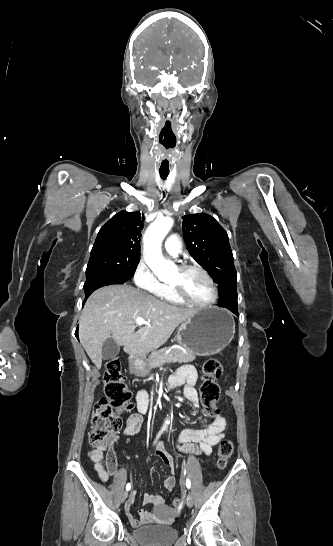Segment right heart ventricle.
Segmentation results:
<instances>
[{
  "label": "right heart ventricle",
  "mask_w": 333,
  "mask_h": 546,
  "mask_svg": "<svg viewBox=\"0 0 333 546\" xmlns=\"http://www.w3.org/2000/svg\"><path fill=\"white\" fill-rule=\"evenodd\" d=\"M161 298L167 302L175 303V304H181L183 303L180 301L174 294L171 285H165V289L163 294L161 295Z\"/></svg>",
  "instance_id": "1"
}]
</instances>
